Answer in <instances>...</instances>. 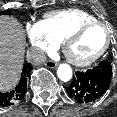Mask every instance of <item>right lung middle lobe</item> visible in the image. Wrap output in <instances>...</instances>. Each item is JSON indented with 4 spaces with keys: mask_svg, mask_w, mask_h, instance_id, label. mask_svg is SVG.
Here are the masks:
<instances>
[{
    "mask_svg": "<svg viewBox=\"0 0 117 117\" xmlns=\"http://www.w3.org/2000/svg\"><path fill=\"white\" fill-rule=\"evenodd\" d=\"M0 15H10V11L9 10L2 11V12H0Z\"/></svg>",
    "mask_w": 117,
    "mask_h": 117,
    "instance_id": "dd1d6c3e",
    "label": "right lung middle lobe"
}]
</instances>
